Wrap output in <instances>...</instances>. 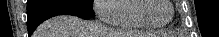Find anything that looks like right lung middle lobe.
Masks as SVG:
<instances>
[{"instance_id": "dd1d6c3e", "label": "right lung middle lobe", "mask_w": 219, "mask_h": 37, "mask_svg": "<svg viewBox=\"0 0 219 37\" xmlns=\"http://www.w3.org/2000/svg\"><path fill=\"white\" fill-rule=\"evenodd\" d=\"M85 2H88V3H92V0H83Z\"/></svg>"}]
</instances>
